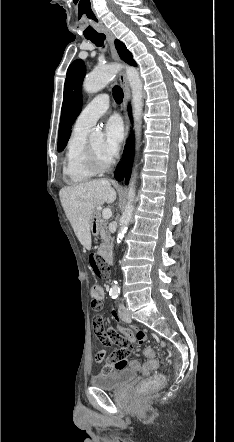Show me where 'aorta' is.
Listing matches in <instances>:
<instances>
[{"label": "aorta", "mask_w": 234, "mask_h": 442, "mask_svg": "<svg viewBox=\"0 0 234 442\" xmlns=\"http://www.w3.org/2000/svg\"><path fill=\"white\" fill-rule=\"evenodd\" d=\"M121 66L117 64L107 65L103 68H98L93 70L91 73L87 74L84 82L83 89L87 93H96L102 90L118 73ZM126 76L129 85L132 90V105H133V116L135 121V131L137 144L140 139L141 130V117L143 110V84L139 76L138 71L134 67L126 66ZM100 132H94L91 135V139L101 137ZM135 202V176L131 178L128 190V202L120 218V228L117 233V243L119 244L123 239L128 225L132 219L133 210ZM112 293H119V286L115 282L111 287Z\"/></svg>", "instance_id": "obj_1"}]
</instances>
